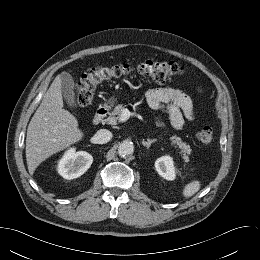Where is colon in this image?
Listing matches in <instances>:
<instances>
[{"instance_id":"obj_1","label":"colon","mask_w":260,"mask_h":260,"mask_svg":"<svg viewBox=\"0 0 260 260\" xmlns=\"http://www.w3.org/2000/svg\"><path fill=\"white\" fill-rule=\"evenodd\" d=\"M182 74V68L172 61L146 60L136 64L97 65L87 69L75 87V98L78 107L88 105L96 88L111 79L137 75L157 83L172 81ZM203 144L213 142L214 133L210 126H204L197 134Z\"/></svg>"}]
</instances>
